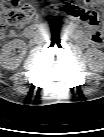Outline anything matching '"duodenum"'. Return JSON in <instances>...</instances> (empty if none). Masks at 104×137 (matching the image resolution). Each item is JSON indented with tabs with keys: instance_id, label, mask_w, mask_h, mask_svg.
<instances>
[{
	"instance_id": "1",
	"label": "duodenum",
	"mask_w": 104,
	"mask_h": 137,
	"mask_svg": "<svg viewBox=\"0 0 104 137\" xmlns=\"http://www.w3.org/2000/svg\"><path fill=\"white\" fill-rule=\"evenodd\" d=\"M38 29L39 28L37 26H34V27H31V28L27 29L25 31V36L28 37V38H32V37L36 36L37 33H38ZM78 37L82 41H87V42L90 41V37L87 36V35H84V34L83 35H78Z\"/></svg>"
}]
</instances>
